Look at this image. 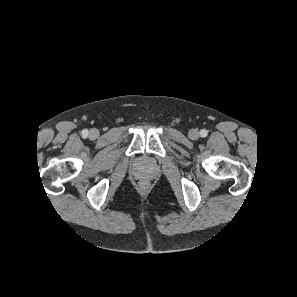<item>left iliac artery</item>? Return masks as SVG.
Instances as JSON below:
<instances>
[{
  "mask_svg": "<svg viewBox=\"0 0 297 297\" xmlns=\"http://www.w3.org/2000/svg\"><path fill=\"white\" fill-rule=\"evenodd\" d=\"M208 135V131L207 130H205V129H202L201 131H200V136L201 137H206Z\"/></svg>",
  "mask_w": 297,
  "mask_h": 297,
  "instance_id": "obj_1",
  "label": "left iliac artery"
}]
</instances>
